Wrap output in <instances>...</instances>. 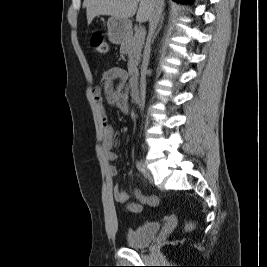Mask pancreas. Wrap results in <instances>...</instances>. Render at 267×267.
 <instances>
[{
    "label": "pancreas",
    "mask_w": 267,
    "mask_h": 267,
    "mask_svg": "<svg viewBox=\"0 0 267 267\" xmlns=\"http://www.w3.org/2000/svg\"><path fill=\"white\" fill-rule=\"evenodd\" d=\"M143 40L138 39L133 31L130 30L123 38L120 47V53L129 57L128 72L129 75L137 72V65L140 59Z\"/></svg>",
    "instance_id": "1"
}]
</instances>
